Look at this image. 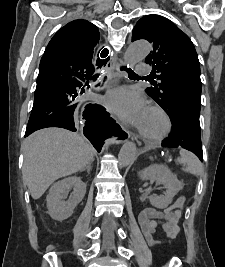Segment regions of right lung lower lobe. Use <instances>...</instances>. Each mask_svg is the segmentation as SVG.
<instances>
[{
  "mask_svg": "<svg viewBox=\"0 0 225 267\" xmlns=\"http://www.w3.org/2000/svg\"><path fill=\"white\" fill-rule=\"evenodd\" d=\"M93 72L81 55L64 52L44 53L40 61L35 99L25 137L47 127L76 131L74 111L82 103L80 96L85 93L82 84ZM89 105L94 106V120L88 123L86 118L84 134L99 152L107 136V128L115 122L103 107Z\"/></svg>",
  "mask_w": 225,
  "mask_h": 267,
  "instance_id": "obj_1",
  "label": "right lung lower lobe"
}]
</instances>
